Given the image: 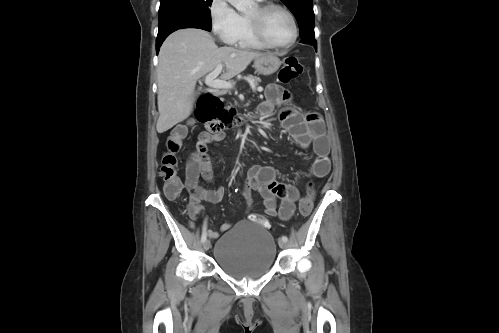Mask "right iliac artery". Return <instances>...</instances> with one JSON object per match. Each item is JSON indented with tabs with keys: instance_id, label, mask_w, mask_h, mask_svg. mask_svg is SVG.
Returning <instances> with one entry per match:
<instances>
[{
	"instance_id": "obj_1",
	"label": "right iliac artery",
	"mask_w": 499,
	"mask_h": 333,
	"mask_svg": "<svg viewBox=\"0 0 499 333\" xmlns=\"http://www.w3.org/2000/svg\"><path fill=\"white\" fill-rule=\"evenodd\" d=\"M206 238H207V233H206V223H205L204 227H203L202 236H201V242L204 243Z\"/></svg>"
}]
</instances>
